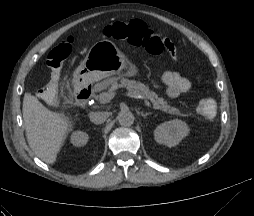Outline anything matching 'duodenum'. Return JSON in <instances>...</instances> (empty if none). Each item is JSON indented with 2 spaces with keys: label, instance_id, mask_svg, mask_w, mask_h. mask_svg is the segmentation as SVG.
<instances>
[{
  "label": "duodenum",
  "instance_id": "1",
  "mask_svg": "<svg viewBox=\"0 0 254 216\" xmlns=\"http://www.w3.org/2000/svg\"><path fill=\"white\" fill-rule=\"evenodd\" d=\"M92 94V86L87 84L78 88L75 92V99L79 105H87Z\"/></svg>",
  "mask_w": 254,
  "mask_h": 216
}]
</instances>
